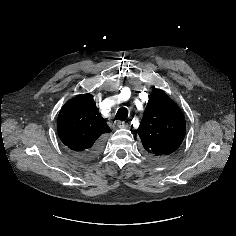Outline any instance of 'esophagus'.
Listing matches in <instances>:
<instances>
[{
    "mask_svg": "<svg viewBox=\"0 0 236 236\" xmlns=\"http://www.w3.org/2000/svg\"><path fill=\"white\" fill-rule=\"evenodd\" d=\"M127 123H125L124 121H118L117 122V127L120 128V129H124V128H127Z\"/></svg>",
    "mask_w": 236,
    "mask_h": 236,
    "instance_id": "34e87169",
    "label": "esophagus"
}]
</instances>
